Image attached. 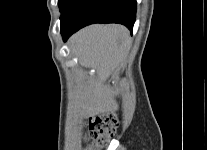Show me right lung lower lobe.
Instances as JSON below:
<instances>
[{
    "instance_id": "obj_1",
    "label": "right lung lower lobe",
    "mask_w": 207,
    "mask_h": 150,
    "mask_svg": "<svg viewBox=\"0 0 207 150\" xmlns=\"http://www.w3.org/2000/svg\"><path fill=\"white\" fill-rule=\"evenodd\" d=\"M136 0H72L61 12L64 41L80 28L93 23H120L132 31Z\"/></svg>"
}]
</instances>
